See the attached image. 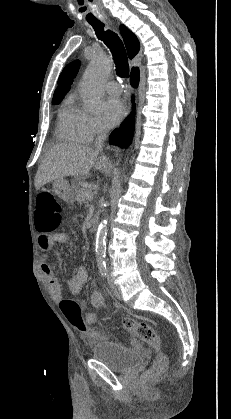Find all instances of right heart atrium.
I'll list each match as a JSON object with an SVG mask.
<instances>
[{
	"label": "right heart atrium",
	"instance_id": "obj_1",
	"mask_svg": "<svg viewBox=\"0 0 231 419\" xmlns=\"http://www.w3.org/2000/svg\"><path fill=\"white\" fill-rule=\"evenodd\" d=\"M84 132L86 138L91 140L95 136L102 135L105 132V128L98 118L87 115L84 123Z\"/></svg>",
	"mask_w": 231,
	"mask_h": 419
}]
</instances>
